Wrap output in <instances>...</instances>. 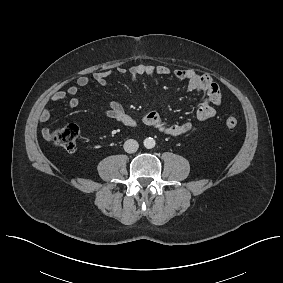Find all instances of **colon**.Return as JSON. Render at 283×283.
<instances>
[{
    "mask_svg": "<svg viewBox=\"0 0 283 283\" xmlns=\"http://www.w3.org/2000/svg\"><path fill=\"white\" fill-rule=\"evenodd\" d=\"M225 123L228 128H235L239 121L235 117H228ZM79 132L80 128L77 124H68L51 131L48 136L54 145L69 151L75 149Z\"/></svg>",
    "mask_w": 283,
    "mask_h": 283,
    "instance_id": "1",
    "label": "colon"
}]
</instances>
